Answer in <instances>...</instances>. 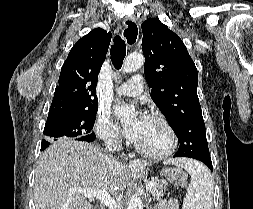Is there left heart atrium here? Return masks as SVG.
<instances>
[{
  "label": "left heart atrium",
  "instance_id": "39dd6f15",
  "mask_svg": "<svg viewBox=\"0 0 253 209\" xmlns=\"http://www.w3.org/2000/svg\"><path fill=\"white\" fill-rule=\"evenodd\" d=\"M150 116L145 112H140L136 122L130 127L124 129V134L133 142H137L149 121Z\"/></svg>",
  "mask_w": 253,
  "mask_h": 209
}]
</instances>
